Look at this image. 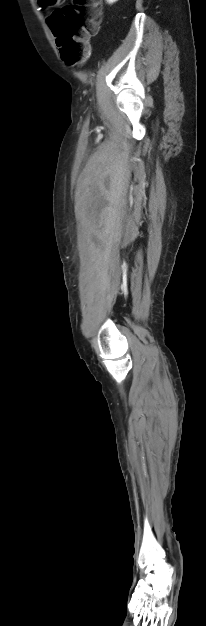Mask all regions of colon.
I'll use <instances>...</instances> for the list:
<instances>
[{
    "instance_id": "colon-1",
    "label": "colon",
    "mask_w": 206,
    "mask_h": 626,
    "mask_svg": "<svg viewBox=\"0 0 206 626\" xmlns=\"http://www.w3.org/2000/svg\"><path fill=\"white\" fill-rule=\"evenodd\" d=\"M63 0H42V4L57 6ZM100 0H72L71 4L55 10L49 25L63 61L77 65L87 54V41L99 28Z\"/></svg>"
}]
</instances>
